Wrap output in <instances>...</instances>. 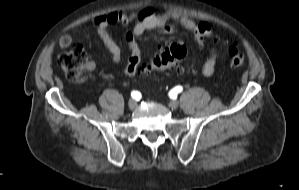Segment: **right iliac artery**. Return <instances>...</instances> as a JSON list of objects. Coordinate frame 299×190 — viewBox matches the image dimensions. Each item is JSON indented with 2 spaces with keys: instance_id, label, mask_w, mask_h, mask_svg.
<instances>
[{
  "instance_id": "82829eb1",
  "label": "right iliac artery",
  "mask_w": 299,
  "mask_h": 190,
  "mask_svg": "<svg viewBox=\"0 0 299 190\" xmlns=\"http://www.w3.org/2000/svg\"><path fill=\"white\" fill-rule=\"evenodd\" d=\"M131 96H132V98L139 100L141 97V94L138 91H132Z\"/></svg>"
}]
</instances>
